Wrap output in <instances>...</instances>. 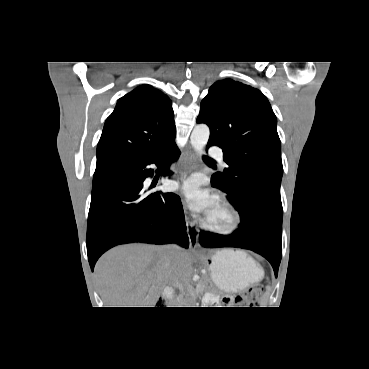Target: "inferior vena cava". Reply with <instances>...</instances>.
<instances>
[{"instance_id":"obj_1","label":"inferior vena cava","mask_w":369,"mask_h":369,"mask_svg":"<svg viewBox=\"0 0 369 369\" xmlns=\"http://www.w3.org/2000/svg\"><path fill=\"white\" fill-rule=\"evenodd\" d=\"M179 249L176 245H169L166 247V254L169 259L172 258V255Z\"/></svg>"}]
</instances>
